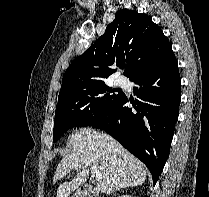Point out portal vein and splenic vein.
Masks as SVG:
<instances>
[{"label": "portal vein and splenic vein", "instance_id": "obj_1", "mask_svg": "<svg viewBox=\"0 0 209 197\" xmlns=\"http://www.w3.org/2000/svg\"><path fill=\"white\" fill-rule=\"evenodd\" d=\"M90 169H91V173H92V175L95 177V179H96L97 181L101 180L102 174H101L100 171L97 169V167H96V166H91Z\"/></svg>", "mask_w": 209, "mask_h": 197}]
</instances>
